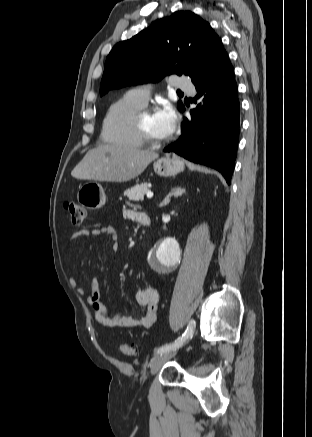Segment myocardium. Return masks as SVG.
Returning a JSON list of instances; mask_svg holds the SVG:
<instances>
[{
    "label": "myocardium",
    "mask_w": 312,
    "mask_h": 437,
    "mask_svg": "<svg viewBox=\"0 0 312 437\" xmlns=\"http://www.w3.org/2000/svg\"><path fill=\"white\" fill-rule=\"evenodd\" d=\"M151 114V109L147 106H143L141 109H139L134 117H133V125L134 130L136 134L138 135L140 141L142 144L150 145V146H160L164 145L169 142V138H166L164 140H156L152 138L143 128L142 126V117L144 115Z\"/></svg>",
    "instance_id": "obj_1"
}]
</instances>
